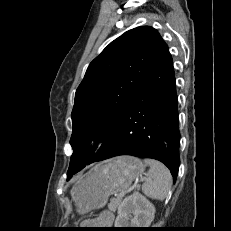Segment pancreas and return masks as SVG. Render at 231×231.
<instances>
[{
  "label": "pancreas",
  "mask_w": 231,
  "mask_h": 231,
  "mask_svg": "<svg viewBox=\"0 0 231 231\" xmlns=\"http://www.w3.org/2000/svg\"><path fill=\"white\" fill-rule=\"evenodd\" d=\"M121 202H122V197L120 196H117L116 198H112L110 200V203L108 204V208L111 211H116V209L120 206Z\"/></svg>",
  "instance_id": "cf45deb5"
}]
</instances>
